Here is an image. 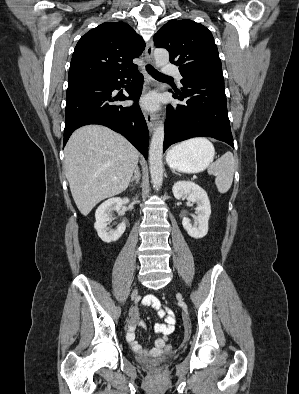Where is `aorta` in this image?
Instances as JSON below:
<instances>
[{
	"label": "aorta",
	"instance_id": "aorta-1",
	"mask_svg": "<svg viewBox=\"0 0 299 394\" xmlns=\"http://www.w3.org/2000/svg\"><path fill=\"white\" fill-rule=\"evenodd\" d=\"M154 58L156 66L162 67L169 62V53L166 49L157 48L154 51ZM163 141L164 125L160 122L154 130L149 148L150 174L153 186L157 190L161 187L163 182Z\"/></svg>",
	"mask_w": 299,
	"mask_h": 394
}]
</instances>
